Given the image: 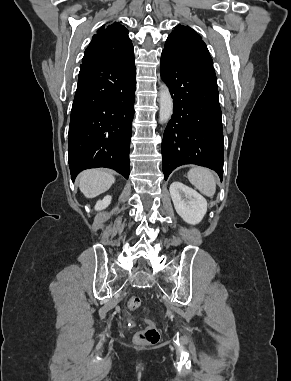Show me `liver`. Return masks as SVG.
<instances>
[{
    "label": "liver",
    "mask_w": 291,
    "mask_h": 381,
    "mask_svg": "<svg viewBox=\"0 0 291 381\" xmlns=\"http://www.w3.org/2000/svg\"><path fill=\"white\" fill-rule=\"evenodd\" d=\"M114 181L111 173L101 169L86 170L78 176L80 191L86 198H94L106 192Z\"/></svg>",
    "instance_id": "1"
}]
</instances>
